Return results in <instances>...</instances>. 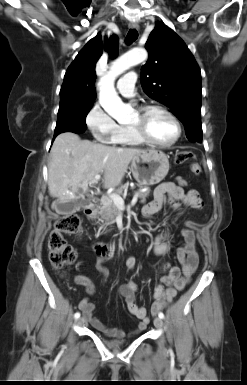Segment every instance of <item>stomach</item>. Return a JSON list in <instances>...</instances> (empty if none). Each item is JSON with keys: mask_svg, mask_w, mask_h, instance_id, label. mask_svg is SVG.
Masks as SVG:
<instances>
[{"mask_svg": "<svg viewBox=\"0 0 247 385\" xmlns=\"http://www.w3.org/2000/svg\"><path fill=\"white\" fill-rule=\"evenodd\" d=\"M130 170L140 186L158 184L169 171L168 156L159 150H144L133 157Z\"/></svg>", "mask_w": 247, "mask_h": 385, "instance_id": "0dacf381", "label": "stomach"}]
</instances>
